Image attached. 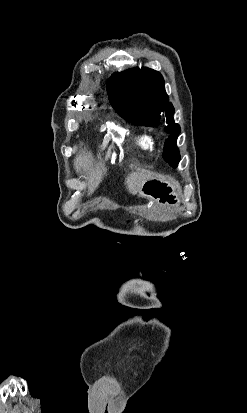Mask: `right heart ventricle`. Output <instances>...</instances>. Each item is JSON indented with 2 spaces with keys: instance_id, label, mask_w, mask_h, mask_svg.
<instances>
[{
  "instance_id": "obj_1",
  "label": "right heart ventricle",
  "mask_w": 247,
  "mask_h": 413,
  "mask_svg": "<svg viewBox=\"0 0 247 413\" xmlns=\"http://www.w3.org/2000/svg\"><path fill=\"white\" fill-rule=\"evenodd\" d=\"M138 144L145 150H153L154 142L150 135L148 134H141L138 136Z\"/></svg>"
}]
</instances>
